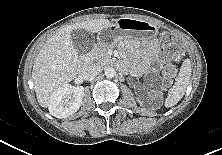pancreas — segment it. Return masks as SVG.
<instances>
[{"label":"pancreas","instance_id":"1","mask_svg":"<svg viewBox=\"0 0 222 155\" xmlns=\"http://www.w3.org/2000/svg\"><path fill=\"white\" fill-rule=\"evenodd\" d=\"M110 48H94L92 56L102 64L112 63L111 56L108 54Z\"/></svg>","mask_w":222,"mask_h":155}]
</instances>
